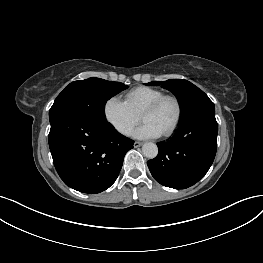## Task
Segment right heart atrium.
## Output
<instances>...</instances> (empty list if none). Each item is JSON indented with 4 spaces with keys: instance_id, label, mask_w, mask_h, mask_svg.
<instances>
[{
    "instance_id": "obj_1",
    "label": "right heart atrium",
    "mask_w": 263,
    "mask_h": 263,
    "mask_svg": "<svg viewBox=\"0 0 263 263\" xmlns=\"http://www.w3.org/2000/svg\"><path fill=\"white\" fill-rule=\"evenodd\" d=\"M103 115L107 123L119 134L128 135L139 121V115L135 113L118 96L108 98L103 106Z\"/></svg>"
}]
</instances>
